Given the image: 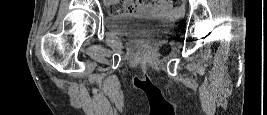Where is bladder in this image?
I'll return each mask as SVG.
<instances>
[{
  "mask_svg": "<svg viewBox=\"0 0 267 115\" xmlns=\"http://www.w3.org/2000/svg\"><path fill=\"white\" fill-rule=\"evenodd\" d=\"M160 18L157 14L123 13L107 15L105 25L108 31L118 36H128L147 32L151 25Z\"/></svg>",
  "mask_w": 267,
  "mask_h": 115,
  "instance_id": "obj_1",
  "label": "bladder"
}]
</instances>
